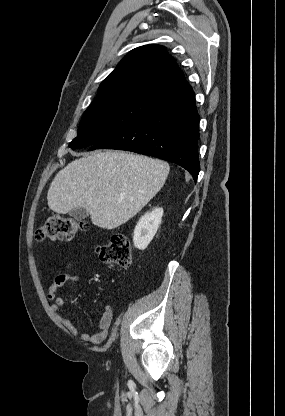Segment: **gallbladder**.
<instances>
[{
    "label": "gallbladder",
    "instance_id": "gallbladder-1",
    "mask_svg": "<svg viewBox=\"0 0 285 416\" xmlns=\"http://www.w3.org/2000/svg\"><path fill=\"white\" fill-rule=\"evenodd\" d=\"M69 214L72 216V218H74V220H77V222H83V220L89 216L87 210H84V208H76V210H70Z\"/></svg>",
    "mask_w": 285,
    "mask_h": 416
}]
</instances>
